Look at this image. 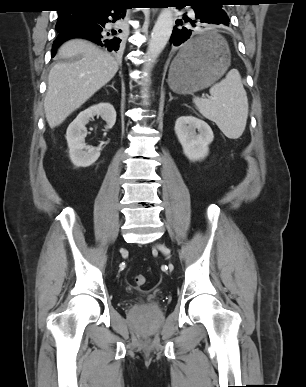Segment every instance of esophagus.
<instances>
[{
  "label": "esophagus",
  "mask_w": 306,
  "mask_h": 387,
  "mask_svg": "<svg viewBox=\"0 0 306 387\" xmlns=\"http://www.w3.org/2000/svg\"><path fill=\"white\" fill-rule=\"evenodd\" d=\"M157 12V10H153V13H156Z\"/></svg>",
  "instance_id": "34e87169"
}]
</instances>
